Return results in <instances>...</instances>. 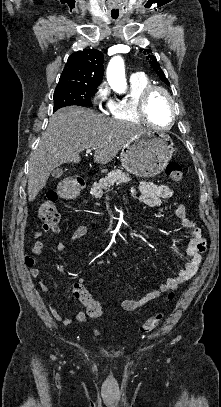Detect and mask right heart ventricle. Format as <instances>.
I'll return each instance as SVG.
<instances>
[{
	"instance_id": "1",
	"label": "right heart ventricle",
	"mask_w": 221,
	"mask_h": 407,
	"mask_svg": "<svg viewBox=\"0 0 221 407\" xmlns=\"http://www.w3.org/2000/svg\"><path fill=\"white\" fill-rule=\"evenodd\" d=\"M151 86L152 83L144 75L131 78L129 96L112 102L110 107L112 118L125 122H141L137 115V104L143 92Z\"/></svg>"
}]
</instances>
